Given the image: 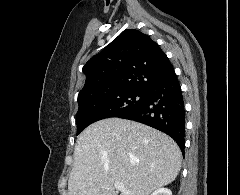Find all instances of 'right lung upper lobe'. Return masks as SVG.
Wrapping results in <instances>:
<instances>
[{"instance_id":"right-lung-upper-lobe-1","label":"right lung upper lobe","mask_w":240,"mask_h":195,"mask_svg":"<svg viewBox=\"0 0 240 195\" xmlns=\"http://www.w3.org/2000/svg\"><path fill=\"white\" fill-rule=\"evenodd\" d=\"M86 82L78 100L124 89L148 91L174 73L159 45L138 30H124L83 67Z\"/></svg>"}]
</instances>
